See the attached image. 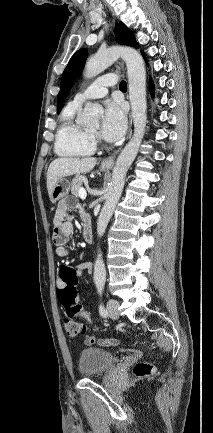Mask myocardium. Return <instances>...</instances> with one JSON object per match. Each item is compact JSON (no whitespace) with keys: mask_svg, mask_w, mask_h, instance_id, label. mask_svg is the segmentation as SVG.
<instances>
[{"mask_svg":"<svg viewBox=\"0 0 213 433\" xmlns=\"http://www.w3.org/2000/svg\"><path fill=\"white\" fill-rule=\"evenodd\" d=\"M88 132H89V135H90V137H91V139L95 145H103V141H102V139L98 133H94L91 131H88Z\"/></svg>","mask_w":213,"mask_h":433,"instance_id":"1","label":"myocardium"}]
</instances>
